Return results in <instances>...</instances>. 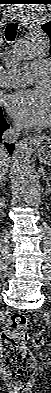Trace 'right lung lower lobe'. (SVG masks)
<instances>
[{
  "label": "right lung lower lobe",
  "mask_w": 51,
  "mask_h": 393,
  "mask_svg": "<svg viewBox=\"0 0 51 393\" xmlns=\"http://www.w3.org/2000/svg\"><path fill=\"white\" fill-rule=\"evenodd\" d=\"M9 128V124L5 121L2 112L0 113V140L3 132ZM5 147L8 149V152L12 154L14 150V144L4 143ZM2 143L0 142V147Z\"/></svg>",
  "instance_id": "1"
}]
</instances>
